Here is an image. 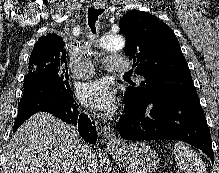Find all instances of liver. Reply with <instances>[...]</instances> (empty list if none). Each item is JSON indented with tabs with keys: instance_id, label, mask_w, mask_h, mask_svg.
Returning <instances> with one entry per match:
<instances>
[{
	"instance_id": "6515ba94",
	"label": "liver",
	"mask_w": 219,
	"mask_h": 173,
	"mask_svg": "<svg viewBox=\"0 0 219 173\" xmlns=\"http://www.w3.org/2000/svg\"><path fill=\"white\" fill-rule=\"evenodd\" d=\"M83 142L68 124L47 112H38L12 136L2 173H72L81 159ZM88 173H95L93 151L86 158Z\"/></svg>"
}]
</instances>
